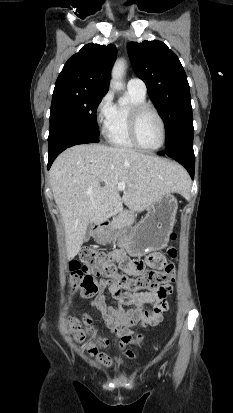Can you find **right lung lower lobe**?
Here are the masks:
<instances>
[{
	"label": "right lung lower lobe",
	"mask_w": 233,
	"mask_h": 413,
	"mask_svg": "<svg viewBox=\"0 0 233 413\" xmlns=\"http://www.w3.org/2000/svg\"><path fill=\"white\" fill-rule=\"evenodd\" d=\"M98 138L89 134L72 131H60L48 138L49 157L48 169L51 167L55 158L68 147L85 144L97 143Z\"/></svg>",
	"instance_id": "1"
}]
</instances>
